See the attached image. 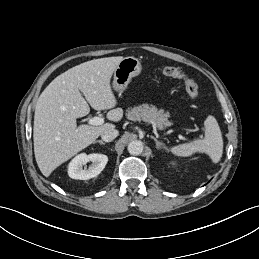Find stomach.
I'll use <instances>...</instances> for the list:
<instances>
[{
    "instance_id": "0dacf381",
    "label": "stomach",
    "mask_w": 259,
    "mask_h": 259,
    "mask_svg": "<svg viewBox=\"0 0 259 259\" xmlns=\"http://www.w3.org/2000/svg\"><path fill=\"white\" fill-rule=\"evenodd\" d=\"M141 63L135 57H125L118 64L113 74V88L117 92H123L133 77L141 72Z\"/></svg>"
}]
</instances>
